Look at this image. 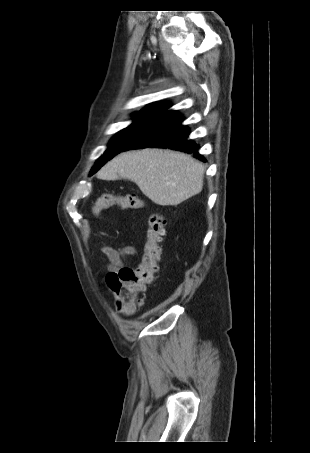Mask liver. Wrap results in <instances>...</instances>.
<instances>
[{"label": "liver", "mask_w": 310, "mask_h": 453, "mask_svg": "<svg viewBox=\"0 0 310 453\" xmlns=\"http://www.w3.org/2000/svg\"><path fill=\"white\" fill-rule=\"evenodd\" d=\"M204 172V166L189 155L148 148L119 154L97 177L132 180L155 204L176 206L202 191Z\"/></svg>", "instance_id": "1"}]
</instances>
